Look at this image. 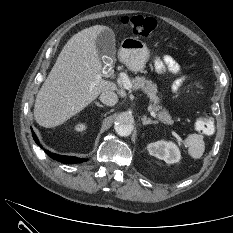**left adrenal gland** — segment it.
Masks as SVG:
<instances>
[{
    "instance_id": "left-adrenal-gland-1",
    "label": "left adrenal gland",
    "mask_w": 233,
    "mask_h": 233,
    "mask_svg": "<svg viewBox=\"0 0 233 233\" xmlns=\"http://www.w3.org/2000/svg\"><path fill=\"white\" fill-rule=\"evenodd\" d=\"M142 124L143 125H148V124H157V121H152L150 118H146L145 116L141 118Z\"/></svg>"
}]
</instances>
